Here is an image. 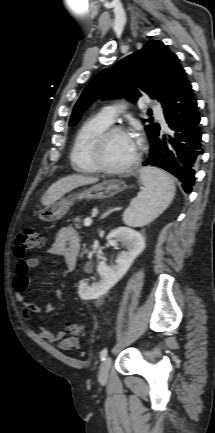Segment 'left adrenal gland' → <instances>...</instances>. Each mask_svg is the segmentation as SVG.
Listing matches in <instances>:
<instances>
[{
    "mask_svg": "<svg viewBox=\"0 0 215 433\" xmlns=\"http://www.w3.org/2000/svg\"><path fill=\"white\" fill-rule=\"evenodd\" d=\"M116 210H119V208H113V209L108 210L107 212H105V213L103 214V216L101 217V219L107 217L109 214H111L112 212H114V211H116Z\"/></svg>",
    "mask_w": 215,
    "mask_h": 433,
    "instance_id": "left-adrenal-gland-1",
    "label": "left adrenal gland"
}]
</instances>
